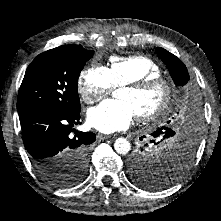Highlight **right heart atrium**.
Listing matches in <instances>:
<instances>
[{
	"instance_id": "1",
	"label": "right heart atrium",
	"mask_w": 221,
	"mask_h": 221,
	"mask_svg": "<svg viewBox=\"0 0 221 221\" xmlns=\"http://www.w3.org/2000/svg\"><path fill=\"white\" fill-rule=\"evenodd\" d=\"M114 86L108 69L100 65L84 70L78 79V90L82 100L86 103L97 101L110 93Z\"/></svg>"
}]
</instances>
